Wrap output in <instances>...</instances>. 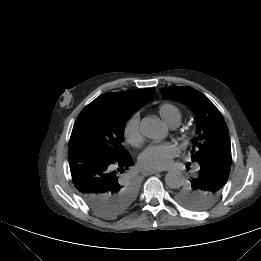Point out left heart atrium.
<instances>
[{
	"label": "left heart atrium",
	"mask_w": 261,
	"mask_h": 261,
	"mask_svg": "<svg viewBox=\"0 0 261 261\" xmlns=\"http://www.w3.org/2000/svg\"><path fill=\"white\" fill-rule=\"evenodd\" d=\"M179 154V147L172 142L149 145L140 155V165L145 169H163L168 167Z\"/></svg>",
	"instance_id": "39dd6f15"
}]
</instances>
